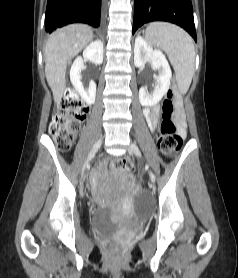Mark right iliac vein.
I'll use <instances>...</instances> for the list:
<instances>
[{
  "label": "right iliac vein",
  "mask_w": 238,
  "mask_h": 278,
  "mask_svg": "<svg viewBox=\"0 0 238 278\" xmlns=\"http://www.w3.org/2000/svg\"><path fill=\"white\" fill-rule=\"evenodd\" d=\"M101 144H102V138H99L95 143L94 145L92 146L89 154H88V157L85 161V164L84 166H82L81 168V174H84V171H85V167L88 165L89 161L95 156V154L97 153V151L99 150V148L101 147Z\"/></svg>",
  "instance_id": "right-iliac-vein-1"
}]
</instances>
